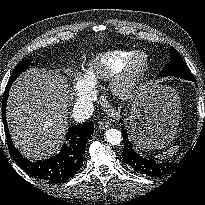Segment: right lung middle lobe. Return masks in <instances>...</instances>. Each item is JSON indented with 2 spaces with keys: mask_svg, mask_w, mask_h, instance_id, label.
Returning <instances> with one entry per match:
<instances>
[{
  "mask_svg": "<svg viewBox=\"0 0 205 205\" xmlns=\"http://www.w3.org/2000/svg\"><path fill=\"white\" fill-rule=\"evenodd\" d=\"M31 60H23L19 62L10 78V83H12L29 65H32Z\"/></svg>",
  "mask_w": 205,
  "mask_h": 205,
  "instance_id": "right-lung-middle-lobe-1",
  "label": "right lung middle lobe"
}]
</instances>
